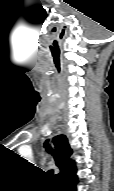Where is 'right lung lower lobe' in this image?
Returning <instances> with one entry per match:
<instances>
[{
    "label": "right lung lower lobe",
    "mask_w": 114,
    "mask_h": 191,
    "mask_svg": "<svg viewBox=\"0 0 114 191\" xmlns=\"http://www.w3.org/2000/svg\"><path fill=\"white\" fill-rule=\"evenodd\" d=\"M58 182L61 191H76L75 186L78 182L76 176V170L72 171L63 178L59 179Z\"/></svg>",
    "instance_id": "obj_1"
}]
</instances>
